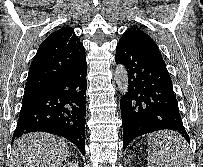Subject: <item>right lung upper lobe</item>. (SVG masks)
I'll return each instance as SVG.
<instances>
[{
  "label": "right lung upper lobe",
  "instance_id": "obj_1",
  "mask_svg": "<svg viewBox=\"0 0 203 167\" xmlns=\"http://www.w3.org/2000/svg\"><path fill=\"white\" fill-rule=\"evenodd\" d=\"M85 50L71 27L51 33L39 46L29 68L24 95L45 90L78 65Z\"/></svg>",
  "mask_w": 203,
  "mask_h": 167
}]
</instances>
